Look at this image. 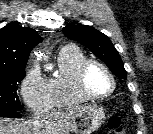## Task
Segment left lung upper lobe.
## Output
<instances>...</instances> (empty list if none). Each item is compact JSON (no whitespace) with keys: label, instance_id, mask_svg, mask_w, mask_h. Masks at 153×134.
<instances>
[{"label":"left lung upper lobe","instance_id":"left-lung-upper-lobe-1","mask_svg":"<svg viewBox=\"0 0 153 134\" xmlns=\"http://www.w3.org/2000/svg\"><path fill=\"white\" fill-rule=\"evenodd\" d=\"M62 31L66 37L90 49L118 78H127L120 55L105 34L91 26L80 24L64 27Z\"/></svg>","mask_w":153,"mask_h":134}]
</instances>
